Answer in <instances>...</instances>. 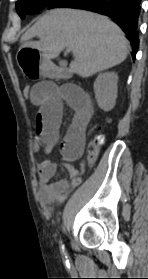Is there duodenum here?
Instances as JSON below:
<instances>
[{
  "instance_id": "410a0bca",
  "label": "duodenum",
  "mask_w": 148,
  "mask_h": 279,
  "mask_svg": "<svg viewBox=\"0 0 148 279\" xmlns=\"http://www.w3.org/2000/svg\"><path fill=\"white\" fill-rule=\"evenodd\" d=\"M58 75L61 78H69L71 76V72L66 68H59Z\"/></svg>"
}]
</instances>
